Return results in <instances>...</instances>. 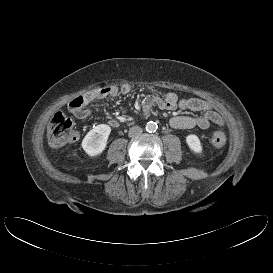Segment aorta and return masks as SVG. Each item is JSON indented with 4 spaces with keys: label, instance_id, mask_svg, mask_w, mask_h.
Instances as JSON below:
<instances>
[{
    "label": "aorta",
    "instance_id": "aorta-1",
    "mask_svg": "<svg viewBox=\"0 0 273 273\" xmlns=\"http://www.w3.org/2000/svg\"><path fill=\"white\" fill-rule=\"evenodd\" d=\"M157 130V124L153 121H149L147 124H146V131L147 132H155Z\"/></svg>",
    "mask_w": 273,
    "mask_h": 273
}]
</instances>
